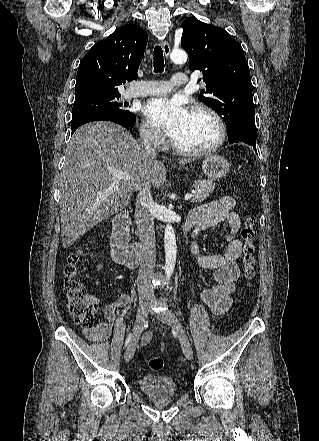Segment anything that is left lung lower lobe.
Listing matches in <instances>:
<instances>
[{"label":"left lung lower lobe","instance_id":"0a47b994","mask_svg":"<svg viewBox=\"0 0 319 441\" xmlns=\"http://www.w3.org/2000/svg\"><path fill=\"white\" fill-rule=\"evenodd\" d=\"M256 138H257V136L245 133V134H241V135H238V136H235V137L229 139V143L232 144V143H236V142H243V143H246V144L253 146L255 152H257L256 151Z\"/></svg>","mask_w":319,"mask_h":441}]
</instances>
